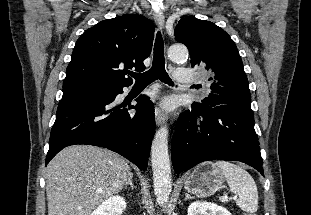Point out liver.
Here are the masks:
<instances>
[{
    "label": "liver",
    "instance_id": "6515ba94",
    "mask_svg": "<svg viewBox=\"0 0 311 215\" xmlns=\"http://www.w3.org/2000/svg\"><path fill=\"white\" fill-rule=\"evenodd\" d=\"M124 158L87 145L64 148L48 164V215H90L101 202L118 193L131 176Z\"/></svg>",
    "mask_w": 311,
    "mask_h": 215
}]
</instances>
